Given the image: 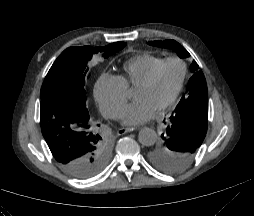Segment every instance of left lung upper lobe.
I'll use <instances>...</instances> for the list:
<instances>
[{"mask_svg": "<svg viewBox=\"0 0 254 216\" xmlns=\"http://www.w3.org/2000/svg\"><path fill=\"white\" fill-rule=\"evenodd\" d=\"M149 45L173 49L180 58L190 54L174 40L149 41ZM186 93L167 122L162 140L148 151L149 161L167 173H178L194 160L205 138L208 124V92L205 77L195 61ZM165 121V120H164Z\"/></svg>", "mask_w": 254, "mask_h": 216, "instance_id": "1", "label": "left lung upper lobe"}]
</instances>
